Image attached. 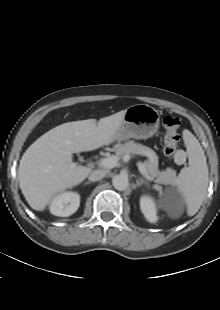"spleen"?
Segmentation results:
<instances>
[{"instance_id": "obj_1", "label": "spleen", "mask_w": 220, "mask_h": 310, "mask_svg": "<svg viewBox=\"0 0 220 310\" xmlns=\"http://www.w3.org/2000/svg\"><path fill=\"white\" fill-rule=\"evenodd\" d=\"M183 140L187 147L189 166L180 171L176 186L185 200L188 216H193L198 212L206 194L208 166L200 143L189 130L183 131Z\"/></svg>"}]
</instances>
